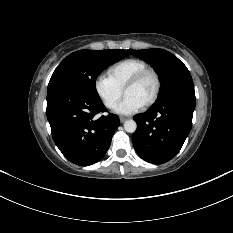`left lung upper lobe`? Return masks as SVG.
Here are the masks:
<instances>
[{
	"instance_id": "left-lung-upper-lobe-1",
	"label": "left lung upper lobe",
	"mask_w": 233,
	"mask_h": 233,
	"mask_svg": "<svg viewBox=\"0 0 233 233\" xmlns=\"http://www.w3.org/2000/svg\"><path fill=\"white\" fill-rule=\"evenodd\" d=\"M131 54L150 63L160 76L159 101L176 96L195 99L194 84L190 72L181 60L162 49L128 50Z\"/></svg>"
}]
</instances>
